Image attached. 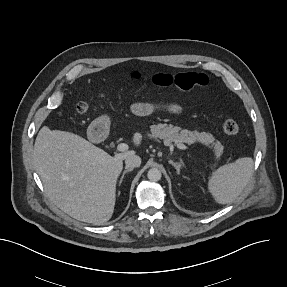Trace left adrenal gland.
I'll list each match as a JSON object with an SVG mask.
<instances>
[{"mask_svg":"<svg viewBox=\"0 0 287 287\" xmlns=\"http://www.w3.org/2000/svg\"><path fill=\"white\" fill-rule=\"evenodd\" d=\"M169 164L175 167L176 171L178 174H180V168L182 167L180 163H176L173 160L169 159L168 160Z\"/></svg>","mask_w":287,"mask_h":287,"instance_id":"left-adrenal-gland-1","label":"left adrenal gland"}]
</instances>
